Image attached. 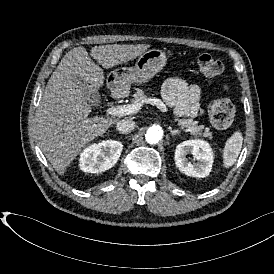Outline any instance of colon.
<instances>
[{"label":"colon","mask_w":274,"mask_h":274,"mask_svg":"<svg viewBox=\"0 0 274 274\" xmlns=\"http://www.w3.org/2000/svg\"><path fill=\"white\" fill-rule=\"evenodd\" d=\"M195 62L205 76L217 80L224 78V67L221 61L210 54H199ZM235 115V105L227 98L217 99L209 106V118L216 129L226 130L230 128L234 123Z\"/></svg>","instance_id":"colon-1"}]
</instances>
